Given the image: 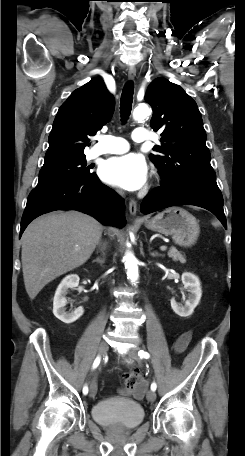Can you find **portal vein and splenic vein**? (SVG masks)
Instances as JSON below:
<instances>
[{"label": "portal vein and splenic vein", "instance_id": "obj_1", "mask_svg": "<svg viewBox=\"0 0 245 456\" xmlns=\"http://www.w3.org/2000/svg\"><path fill=\"white\" fill-rule=\"evenodd\" d=\"M160 249H161V251H166L167 250V246H161Z\"/></svg>", "mask_w": 245, "mask_h": 456}]
</instances>
